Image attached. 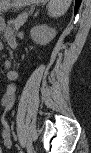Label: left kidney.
<instances>
[{
  "mask_svg": "<svg viewBox=\"0 0 91 153\" xmlns=\"http://www.w3.org/2000/svg\"><path fill=\"white\" fill-rule=\"evenodd\" d=\"M55 35V29L50 28L47 25H39L31 30L32 39L40 45L48 44Z\"/></svg>",
  "mask_w": 91,
  "mask_h": 153,
  "instance_id": "left-kidney-1",
  "label": "left kidney"
}]
</instances>
